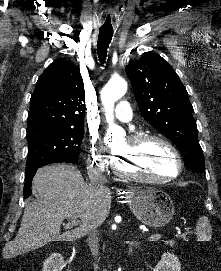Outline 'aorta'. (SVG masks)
Masks as SVG:
<instances>
[{
    "mask_svg": "<svg viewBox=\"0 0 221 271\" xmlns=\"http://www.w3.org/2000/svg\"><path fill=\"white\" fill-rule=\"evenodd\" d=\"M127 91V83L124 79H112L110 80L101 92V101L104 106L107 122L109 124V131L121 132V128L113 123V109L114 103L120 99Z\"/></svg>",
    "mask_w": 221,
    "mask_h": 271,
    "instance_id": "aorta-1",
    "label": "aorta"
}]
</instances>
